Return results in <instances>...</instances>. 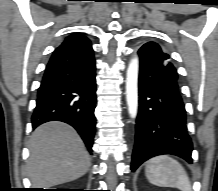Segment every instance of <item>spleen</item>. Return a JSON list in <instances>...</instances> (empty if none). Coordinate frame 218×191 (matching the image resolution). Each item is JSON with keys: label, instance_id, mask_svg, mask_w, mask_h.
Wrapping results in <instances>:
<instances>
[{"label": "spleen", "instance_id": "1", "mask_svg": "<svg viewBox=\"0 0 218 191\" xmlns=\"http://www.w3.org/2000/svg\"><path fill=\"white\" fill-rule=\"evenodd\" d=\"M145 175L149 182L156 186L192 191L183 166L170 156L161 155L150 159L145 168Z\"/></svg>", "mask_w": 218, "mask_h": 191}]
</instances>
